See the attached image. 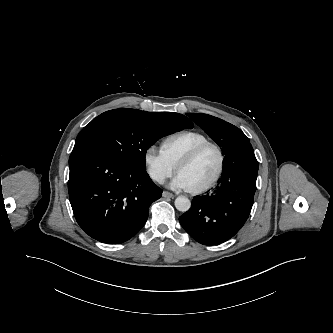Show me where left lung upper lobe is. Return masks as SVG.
I'll return each instance as SVG.
<instances>
[{
    "mask_svg": "<svg viewBox=\"0 0 333 333\" xmlns=\"http://www.w3.org/2000/svg\"><path fill=\"white\" fill-rule=\"evenodd\" d=\"M187 115L222 148L224 155L239 144L249 141L239 128L222 119L198 113Z\"/></svg>",
    "mask_w": 333,
    "mask_h": 333,
    "instance_id": "obj_1",
    "label": "left lung upper lobe"
}]
</instances>
